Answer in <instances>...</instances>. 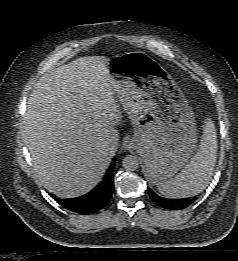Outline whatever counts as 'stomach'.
Here are the masks:
<instances>
[{
    "instance_id": "stomach-1",
    "label": "stomach",
    "mask_w": 238,
    "mask_h": 261,
    "mask_svg": "<svg viewBox=\"0 0 238 261\" xmlns=\"http://www.w3.org/2000/svg\"><path fill=\"white\" fill-rule=\"evenodd\" d=\"M108 69L134 127L131 146L144 159L152 183L160 185L186 165L195 151L192 109L167 71L146 55L116 56Z\"/></svg>"
}]
</instances>
